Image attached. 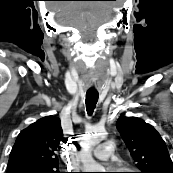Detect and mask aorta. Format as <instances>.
I'll return each mask as SVG.
<instances>
[{"instance_id": "762f6f07", "label": "aorta", "mask_w": 173, "mask_h": 173, "mask_svg": "<svg viewBox=\"0 0 173 173\" xmlns=\"http://www.w3.org/2000/svg\"><path fill=\"white\" fill-rule=\"evenodd\" d=\"M104 130L101 128H94L91 132L85 135L84 144L87 148L97 145L104 137ZM80 159L85 172H103L104 168L98 164L92 157L89 151L80 154Z\"/></svg>"}]
</instances>
